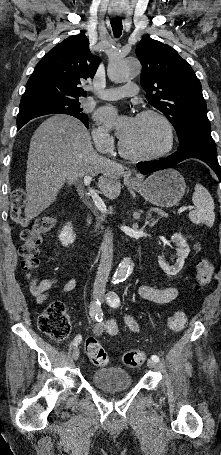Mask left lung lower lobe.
Instances as JSON below:
<instances>
[{
	"label": "left lung lower lobe",
	"mask_w": 221,
	"mask_h": 455,
	"mask_svg": "<svg viewBox=\"0 0 221 455\" xmlns=\"http://www.w3.org/2000/svg\"><path fill=\"white\" fill-rule=\"evenodd\" d=\"M189 158H197L207 163L221 181V167L217 160L216 145L212 138H190L185 141V143L179 145L178 151L167 158L156 161L139 162L137 168L142 174H149L158 170L170 168Z\"/></svg>",
	"instance_id": "0a47b994"
}]
</instances>
